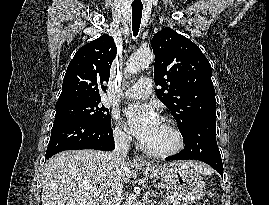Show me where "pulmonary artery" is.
<instances>
[{
  "label": "pulmonary artery",
  "instance_id": "obj_1",
  "mask_svg": "<svg viewBox=\"0 0 269 205\" xmlns=\"http://www.w3.org/2000/svg\"><path fill=\"white\" fill-rule=\"evenodd\" d=\"M153 82L150 78L138 80L131 88L123 93V96L132 99L147 98L152 92Z\"/></svg>",
  "mask_w": 269,
  "mask_h": 205
}]
</instances>
